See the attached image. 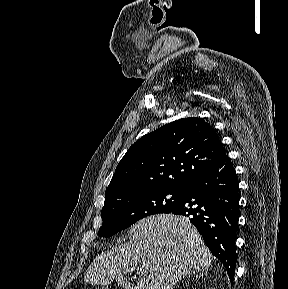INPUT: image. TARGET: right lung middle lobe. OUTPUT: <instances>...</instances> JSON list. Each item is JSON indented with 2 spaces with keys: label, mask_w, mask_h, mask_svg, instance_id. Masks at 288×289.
<instances>
[{
  "label": "right lung middle lobe",
  "mask_w": 288,
  "mask_h": 289,
  "mask_svg": "<svg viewBox=\"0 0 288 289\" xmlns=\"http://www.w3.org/2000/svg\"><path fill=\"white\" fill-rule=\"evenodd\" d=\"M182 198L183 188H153L106 197L99 236H112L146 216L168 213Z\"/></svg>",
  "instance_id": "dd1d6c3e"
}]
</instances>
